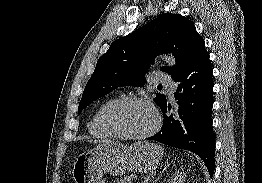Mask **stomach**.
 Here are the masks:
<instances>
[{
  "label": "stomach",
  "instance_id": "stomach-1",
  "mask_svg": "<svg viewBox=\"0 0 262 183\" xmlns=\"http://www.w3.org/2000/svg\"><path fill=\"white\" fill-rule=\"evenodd\" d=\"M163 149L155 143L103 141L80 154L73 163L75 183H105L103 173L121 176L128 171L152 172L163 157Z\"/></svg>",
  "mask_w": 262,
  "mask_h": 183
}]
</instances>
